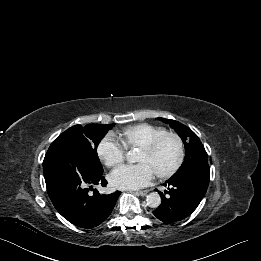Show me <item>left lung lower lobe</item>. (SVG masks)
<instances>
[{
  "mask_svg": "<svg viewBox=\"0 0 261 261\" xmlns=\"http://www.w3.org/2000/svg\"><path fill=\"white\" fill-rule=\"evenodd\" d=\"M210 179L208 164L199 166L183 175L171 177L164 186H168V196L162 194L161 205L153 214L165 223L180 221L189 216L204 197Z\"/></svg>",
  "mask_w": 261,
  "mask_h": 261,
  "instance_id": "0a47b994",
  "label": "left lung lower lobe"
}]
</instances>
